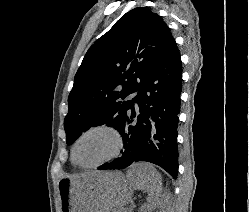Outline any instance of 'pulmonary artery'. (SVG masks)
<instances>
[{"label":"pulmonary artery","instance_id":"e3ab8cb5","mask_svg":"<svg viewBox=\"0 0 249 212\" xmlns=\"http://www.w3.org/2000/svg\"><path fill=\"white\" fill-rule=\"evenodd\" d=\"M137 96V93L136 92H134V93H131L130 94V98H134V97H136ZM135 106L137 107V104L135 103Z\"/></svg>","mask_w":249,"mask_h":212}]
</instances>
